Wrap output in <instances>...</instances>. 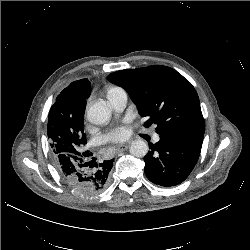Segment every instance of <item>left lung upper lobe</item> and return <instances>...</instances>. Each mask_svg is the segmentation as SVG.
Returning a JSON list of instances; mask_svg holds the SVG:
<instances>
[{"label": "left lung upper lobe", "instance_id": "obj_1", "mask_svg": "<svg viewBox=\"0 0 250 250\" xmlns=\"http://www.w3.org/2000/svg\"><path fill=\"white\" fill-rule=\"evenodd\" d=\"M108 80L124 88L146 124L158 134H204L200 102L192 84L176 70L160 65L120 70Z\"/></svg>", "mask_w": 250, "mask_h": 250}]
</instances>
